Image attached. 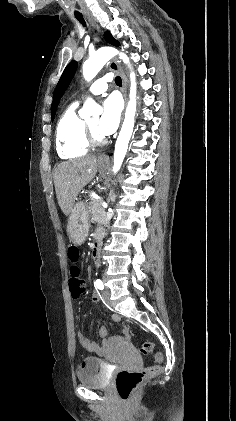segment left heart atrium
Returning <instances> with one entry per match:
<instances>
[{"instance_id":"39dd6f15","label":"left heart atrium","mask_w":236,"mask_h":421,"mask_svg":"<svg viewBox=\"0 0 236 421\" xmlns=\"http://www.w3.org/2000/svg\"><path fill=\"white\" fill-rule=\"evenodd\" d=\"M121 106L116 97L110 96L103 102V114L98 122V130L102 135L113 133L120 122Z\"/></svg>"}]
</instances>
